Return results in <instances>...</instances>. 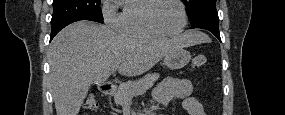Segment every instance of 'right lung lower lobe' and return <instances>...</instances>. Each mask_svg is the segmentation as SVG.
<instances>
[{
	"instance_id": "1",
	"label": "right lung lower lobe",
	"mask_w": 285,
	"mask_h": 115,
	"mask_svg": "<svg viewBox=\"0 0 285 115\" xmlns=\"http://www.w3.org/2000/svg\"><path fill=\"white\" fill-rule=\"evenodd\" d=\"M75 21H78V20H72V21H67V22H64V23H61L57 26H54V27H51V36H50V41L53 39V37L61 30L63 29L65 26L75 22Z\"/></svg>"
}]
</instances>
